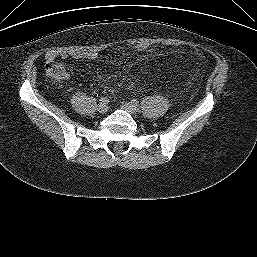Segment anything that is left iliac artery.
Segmentation results:
<instances>
[{
	"mask_svg": "<svg viewBox=\"0 0 257 257\" xmlns=\"http://www.w3.org/2000/svg\"><path fill=\"white\" fill-rule=\"evenodd\" d=\"M131 103L134 104L135 106H138L139 101L136 100V99H132V100H131Z\"/></svg>",
	"mask_w": 257,
	"mask_h": 257,
	"instance_id": "1",
	"label": "left iliac artery"
}]
</instances>
